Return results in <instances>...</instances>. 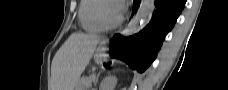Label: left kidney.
Wrapping results in <instances>:
<instances>
[{"label":"left kidney","instance_id":"1","mask_svg":"<svg viewBox=\"0 0 228 90\" xmlns=\"http://www.w3.org/2000/svg\"><path fill=\"white\" fill-rule=\"evenodd\" d=\"M117 84V78L115 76L106 77L100 84V90H114Z\"/></svg>","mask_w":228,"mask_h":90}]
</instances>
